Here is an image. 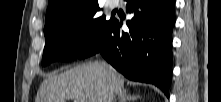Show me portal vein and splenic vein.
Instances as JSON below:
<instances>
[{"label":"portal vein and splenic vein","mask_w":221,"mask_h":102,"mask_svg":"<svg viewBox=\"0 0 221 102\" xmlns=\"http://www.w3.org/2000/svg\"><path fill=\"white\" fill-rule=\"evenodd\" d=\"M75 102L76 101H80V102H87L86 98H76V99H73Z\"/></svg>","instance_id":"obj_1"}]
</instances>
